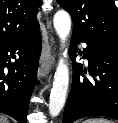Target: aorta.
Returning <instances> with one entry per match:
<instances>
[{
    "mask_svg": "<svg viewBox=\"0 0 118 123\" xmlns=\"http://www.w3.org/2000/svg\"><path fill=\"white\" fill-rule=\"evenodd\" d=\"M54 28L61 44L64 45L71 29V17L64 11L56 12L53 18ZM66 56V52L64 57ZM69 86V69L63 58H60L50 93L49 113L52 117L59 115L66 101Z\"/></svg>",
    "mask_w": 118,
    "mask_h": 123,
    "instance_id": "762f6f07",
    "label": "aorta"
}]
</instances>
